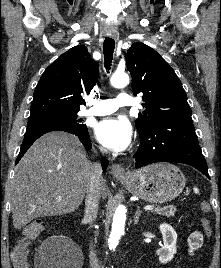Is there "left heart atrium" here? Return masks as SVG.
Returning <instances> with one entry per match:
<instances>
[{
	"label": "left heart atrium",
	"mask_w": 221,
	"mask_h": 268,
	"mask_svg": "<svg viewBox=\"0 0 221 268\" xmlns=\"http://www.w3.org/2000/svg\"><path fill=\"white\" fill-rule=\"evenodd\" d=\"M132 127L123 118H106L96 126V137L107 149L121 152L132 142Z\"/></svg>",
	"instance_id": "obj_1"
}]
</instances>
